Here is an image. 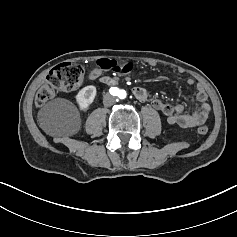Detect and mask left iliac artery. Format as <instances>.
Instances as JSON below:
<instances>
[{"label": "left iliac artery", "instance_id": "left-iliac-artery-1", "mask_svg": "<svg viewBox=\"0 0 237 237\" xmlns=\"http://www.w3.org/2000/svg\"><path fill=\"white\" fill-rule=\"evenodd\" d=\"M121 94L125 95V94H126V92H125L124 90H121V93H120V95H121Z\"/></svg>", "mask_w": 237, "mask_h": 237}]
</instances>
